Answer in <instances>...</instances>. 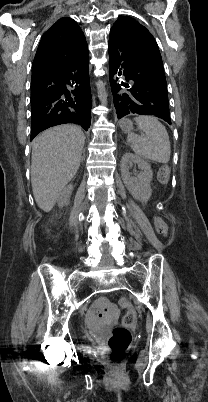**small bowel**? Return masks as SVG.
I'll return each instance as SVG.
<instances>
[{
	"label": "small bowel",
	"mask_w": 208,
	"mask_h": 402,
	"mask_svg": "<svg viewBox=\"0 0 208 402\" xmlns=\"http://www.w3.org/2000/svg\"><path fill=\"white\" fill-rule=\"evenodd\" d=\"M102 301L106 302L102 303ZM95 308L100 311L99 318L97 315H94L92 310H89L87 312L89 318L88 322L86 323V328L88 330H104L108 327V324L113 321V317L115 315L113 306L106 299H101L95 304Z\"/></svg>",
	"instance_id": "obj_1"
}]
</instances>
